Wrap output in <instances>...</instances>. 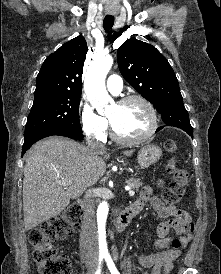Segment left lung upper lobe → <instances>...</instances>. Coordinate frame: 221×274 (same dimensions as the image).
I'll return each mask as SVG.
<instances>
[{"instance_id": "1", "label": "left lung upper lobe", "mask_w": 221, "mask_h": 274, "mask_svg": "<svg viewBox=\"0 0 221 274\" xmlns=\"http://www.w3.org/2000/svg\"><path fill=\"white\" fill-rule=\"evenodd\" d=\"M117 60L124 79L154 104L162 118L184 106L176 75L154 46L131 38L118 48Z\"/></svg>"}]
</instances>
